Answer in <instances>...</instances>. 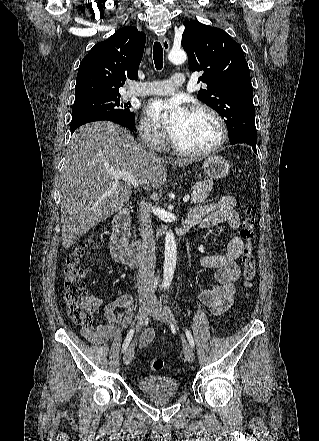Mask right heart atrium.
Masks as SVG:
<instances>
[{"label":"right heart atrium","instance_id":"right-heart-atrium-1","mask_svg":"<svg viewBox=\"0 0 319 441\" xmlns=\"http://www.w3.org/2000/svg\"><path fill=\"white\" fill-rule=\"evenodd\" d=\"M138 131L141 140L146 145L155 149H161L165 146V134L151 119L143 117L139 123Z\"/></svg>","mask_w":319,"mask_h":441}]
</instances>
